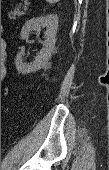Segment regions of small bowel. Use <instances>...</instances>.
Returning <instances> with one entry per match:
<instances>
[{
  "instance_id": "1",
  "label": "small bowel",
  "mask_w": 109,
  "mask_h": 170,
  "mask_svg": "<svg viewBox=\"0 0 109 170\" xmlns=\"http://www.w3.org/2000/svg\"><path fill=\"white\" fill-rule=\"evenodd\" d=\"M1 44H2V46H5V43H4V42H2Z\"/></svg>"
}]
</instances>
